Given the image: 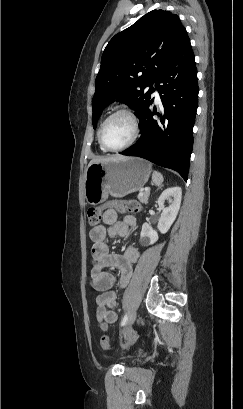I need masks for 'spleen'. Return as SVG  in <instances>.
<instances>
[{"label":"spleen","mask_w":243,"mask_h":409,"mask_svg":"<svg viewBox=\"0 0 243 409\" xmlns=\"http://www.w3.org/2000/svg\"><path fill=\"white\" fill-rule=\"evenodd\" d=\"M152 182L153 184H155L156 186H160L161 183L163 182V176L161 173L154 171L152 174Z\"/></svg>","instance_id":"spleen-1"}]
</instances>
